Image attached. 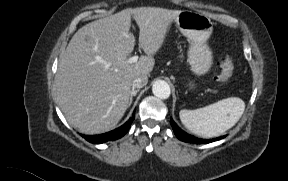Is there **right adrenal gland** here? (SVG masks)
Returning a JSON list of instances; mask_svg holds the SVG:
<instances>
[{"mask_svg": "<svg viewBox=\"0 0 288 181\" xmlns=\"http://www.w3.org/2000/svg\"><path fill=\"white\" fill-rule=\"evenodd\" d=\"M138 92H139V89L132 90L131 95H130V100H129L128 107L132 104L133 97H134Z\"/></svg>", "mask_w": 288, "mask_h": 181, "instance_id": "obj_1", "label": "right adrenal gland"}]
</instances>
